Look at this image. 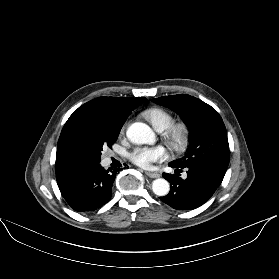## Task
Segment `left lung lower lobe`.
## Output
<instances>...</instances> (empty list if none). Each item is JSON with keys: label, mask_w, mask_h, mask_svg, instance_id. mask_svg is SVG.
<instances>
[{"label": "left lung lower lobe", "mask_w": 279, "mask_h": 279, "mask_svg": "<svg viewBox=\"0 0 279 279\" xmlns=\"http://www.w3.org/2000/svg\"><path fill=\"white\" fill-rule=\"evenodd\" d=\"M169 166L181 171L182 168ZM187 178L184 180L176 175L163 173V177L170 183V192L160 199L174 209L191 210L203 205L210 199L220 186L223 175L214 169L203 165L185 167Z\"/></svg>", "instance_id": "obj_1"}]
</instances>
